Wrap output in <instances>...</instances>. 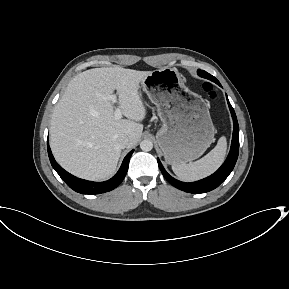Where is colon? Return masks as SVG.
Wrapping results in <instances>:
<instances>
[{
	"label": "colon",
	"instance_id": "obj_1",
	"mask_svg": "<svg viewBox=\"0 0 289 289\" xmlns=\"http://www.w3.org/2000/svg\"><path fill=\"white\" fill-rule=\"evenodd\" d=\"M202 89L206 93L209 99L214 100L216 98V92L214 91L213 87L209 83H203Z\"/></svg>",
	"mask_w": 289,
	"mask_h": 289
}]
</instances>
